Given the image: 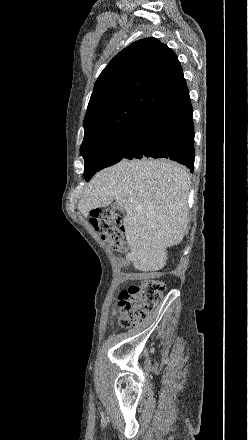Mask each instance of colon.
Wrapping results in <instances>:
<instances>
[{
    "mask_svg": "<svg viewBox=\"0 0 248 440\" xmlns=\"http://www.w3.org/2000/svg\"><path fill=\"white\" fill-rule=\"evenodd\" d=\"M89 221L114 250H127L122 217L118 213L109 209H96L91 212ZM164 290V283L154 278H146L140 284L122 290L117 303L120 325L124 328L132 327L152 313Z\"/></svg>",
    "mask_w": 248,
    "mask_h": 440,
    "instance_id": "colon-1",
    "label": "colon"
}]
</instances>
